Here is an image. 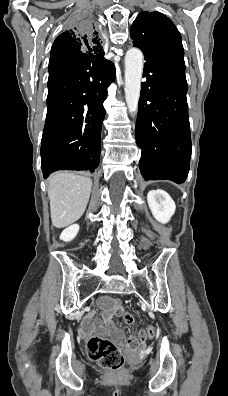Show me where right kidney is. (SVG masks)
Listing matches in <instances>:
<instances>
[{
	"instance_id": "ca27d5eb",
	"label": "right kidney",
	"mask_w": 228,
	"mask_h": 396,
	"mask_svg": "<svg viewBox=\"0 0 228 396\" xmlns=\"http://www.w3.org/2000/svg\"><path fill=\"white\" fill-rule=\"evenodd\" d=\"M79 231V225L78 224H73L71 226H69L68 228H66L60 235V239L68 242L73 240L77 233Z\"/></svg>"
}]
</instances>
